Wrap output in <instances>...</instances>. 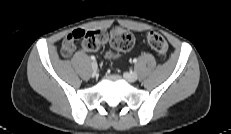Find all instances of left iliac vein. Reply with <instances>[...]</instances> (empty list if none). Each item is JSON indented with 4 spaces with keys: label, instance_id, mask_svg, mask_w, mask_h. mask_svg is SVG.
Here are the masks:
<instances>
[{
    "label": "left iliac vein",
    "instance_id": "4c4485c4",
    "mask_svg": "<svg viewBox=\"0 0 231 134\" xmlns=\"http://www.w3.org/2000/svg\"><path fill=\"white\" fill-rule=\"evenodd\" d=\"M124 77L129 82H134L138 79V74L136 72L125 73Z\"/></svg>",
    "mask_w": 231,
    "mask_h": 134
}]
</instances>
